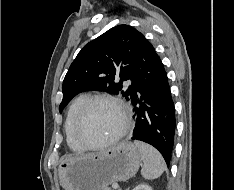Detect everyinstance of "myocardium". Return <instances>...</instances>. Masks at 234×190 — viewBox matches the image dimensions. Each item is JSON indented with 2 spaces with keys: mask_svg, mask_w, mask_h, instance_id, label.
Listing matches in <instances>:
<instances>
[{
  "mask_svg": "<svg viewBox=\"0 0 234 190\" xmlns=\"http://www.w3.org/2000/svg\"><path fill=\"white\" fill-rule=\"evenodd\" d=\"M98 101L109 102L118 109L122 117V126L119 129V131L110 139L104 142L98 143V144H91L83 136L82 128H83V123H84V120H85V117L87 115L89 108L91 107L93 103L98 102ZM130 126H131V118H130L129 112L121 100L109 94H96V95L87 97V99L84 101L83 105L81 106L77 114L76 121H75L74 135H75L76 140L85 149L96 150V149L107 147L117 142L127 133Z\"/></svg>",
  "mask_w": 234,
  "mask_h": 190,
  "instance_id": "f54148a6",
  "label": "myocardium"
}]
</instances>
